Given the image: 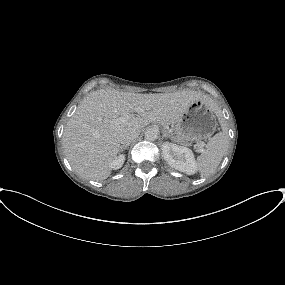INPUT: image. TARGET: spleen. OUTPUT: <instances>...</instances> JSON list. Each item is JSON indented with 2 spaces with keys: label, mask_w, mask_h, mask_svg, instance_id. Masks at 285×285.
<instances>
[{
  "label": "spleen",
  "mask_w": 285,
  "mask_h": 285,
  "mask_svg": "<svg viewBox=\"0 0 285 285\" xmlns=\"http://www.w3.org/2000/svg\"><path fill=\"white\" fill-rule=\"evenodd\" d=\"M228 144V134L223 127V131L215 134L208 141L206 150L197 157L196 166L201 177H207L217 169L227 151Z\"/></svg>",
  "instance_id": "spleen-1"
}]
</instances>
